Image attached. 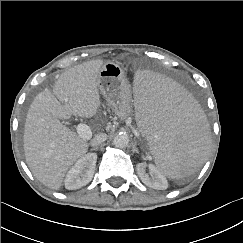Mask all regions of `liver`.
I'll return each instance as SVG.
<instances>
[{"instance_id": "6515ba94", "label": "liver", "mask_w": 243, "mask_h": 243, "mask_svg": "<svg viewBox=\"0 0 243 243\" xmlns=\"http://www.w3.org/2000/svg\"><path fill=\"white\" fill-rule=\"evenodd\" d=\"M102 60H91L64 72L33 100L24 127L26 163L45 186L59 190L68 169L87 151L86 139L64 126L71 115L91 118L100 106L99 72Z\"/></svg>"}]
</instances>
